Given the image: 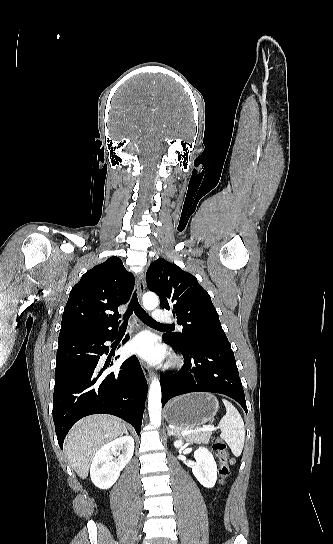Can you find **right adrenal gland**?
<instances>
[{"mask_svg": "<svg viewBox=\"0 0 333 544\" xmlns=\"http://www.w3.org/2000/svg\"><path fill=\"white\" fill-rule=\"evenodd\" d=\"M123 432L128 435V431H127V428L125 426L123 428Z\"/></svg>", "mask_w": 333, "mask_h": 544, "instance_id": "1", "label": "right adrenal gland"}]
</instances>
